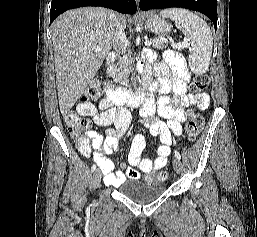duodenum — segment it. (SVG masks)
Masks as SVG:
<instances>
[{"instance_id":"1","label":"duodenum","mask_w":257,"mask_h":237,"mask_svg":"<svg viewBox=\"0 0 257 237\" xmlns=\"http://www.w3.org/2000/svg\"><path fill=\"white\" fill-rule=\"evenodd\" d=\"M116 59V54L114 52H110L107 56V63L112 64ZM139 72L142 75V82L136 89L132 90L113 84L106 75V97L114 103L127 104L132 107L141 104L150 93V75L145 65L141 66Z\"/></svg>"}]
</instances>
